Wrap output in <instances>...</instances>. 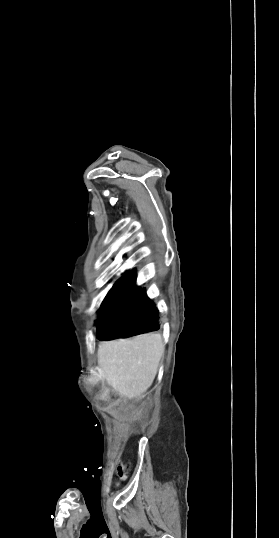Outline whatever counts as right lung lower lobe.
I'll return each mask as SVG.
<instances>
[{
	"label": "right lung lower lobe",
	"instance_id": "98d812e1",
	"mask_svg": "<svg viewBox=\"0 0 279 538\" xmlns=\"http://www.w3.org/2000/svg\"><path fill=\"white\" fill-rule=\"evenodd\" d=\"M136 274L126 272L105 297L95 322L99 340L134 336L159 330L160 316L144 288L135 285Z\"/></svg>",
	"mask_w": 279,
	"mask_h": 538
}]
</instances>
